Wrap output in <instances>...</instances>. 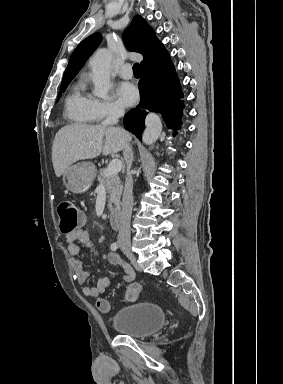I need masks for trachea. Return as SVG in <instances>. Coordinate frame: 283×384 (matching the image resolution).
<instances>
[{
  "label": "trachea",
  "mask_w": 283,
  "mask_h": 384,
  "mask_svg": "<svg viewBox=\"0 0 283 384\" xmlns=\"http://www.w3.org/2000/svg\"><path fill=\"white\" fill-rule=\"evenodd\" d=\"M133 73L134 74H140V72H139V63H134V65H133Z\"/></svg>",
  "instance_id": "obj_1"
}]
</instances>
